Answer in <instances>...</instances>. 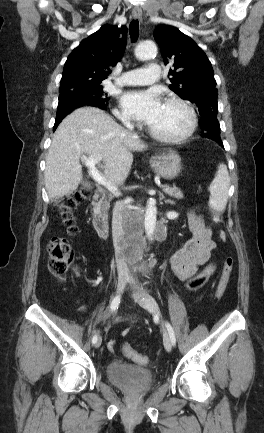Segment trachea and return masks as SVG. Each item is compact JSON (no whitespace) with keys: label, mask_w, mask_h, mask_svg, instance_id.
I'll return each mask as SVG.
<instances>
[{"label":"trachea","mask_w":264,"mask_h":433,"mask_svg":"<svg viewBox=\"0 0 264 433\" xmlns=\"http://www.w3.org/2000/svg\"><path fill=\"white\" fill-rule=\"evenodd\" d=\"M138 32H139V21L138 19L136 20L133 19L130 23V29H129V33L132 41L136 40L138 36Z\"/></svg>","instance_id":"1"}]
</instances>
